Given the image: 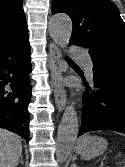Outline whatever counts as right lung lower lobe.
<instances>
[{
  "label": "right lung lower lobe",
  "mask_w": 125,
  "mask_h": 167,
  "mask_svg": "<svg viewBox=\"0 0 125 167\" xmlns=\"http://www.w3.org/2000/svg\"><path fill=\"white\" fill-rule=\"evenodd\" d=\"M28 38L0 48V128L28 140L31 63Z\"/></svg>",
  "instance_id": "1"
}]
</instances>
